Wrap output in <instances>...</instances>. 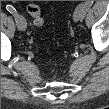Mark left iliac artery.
<instances>
[{"label":"left iliac artery","mask_w":109,"mask_h":109,"mask_svg":"<svg viewBox=\"0 0 109 109\" xmlns=\"http://www.w3.org/2000/svg\"><path fill=\"white\" fill-rule=\"evenodd\" d=\"M83 6V10H84V14L88 11V9L90 8V6L92 5V3L90 2H85L81 4ZM84 18V15H83Z\"/></svg>","instance_id":"1"}]
</instances>
